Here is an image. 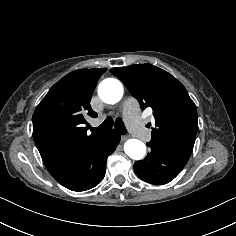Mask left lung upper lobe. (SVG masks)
I'll return each mask as SVG.
<instances>
[{
  "label": "left lung upper lobe",
  "instance_id": "left-lung-upper-lobe-1",
  "mask_svg": "<svg viewBox=\"0 0 236 236\" xmlns=\"http://www.w3.org/2000/svg\"><path fill=\"white\" fill-rule=\"evenodd\" d=\"M155 117L151 142L165 143L191 154L198 130L197 111L185 87L167 71L152 64L110 70ZM151 124L149 123L147 127Z\"/></svg>",
  "mask_w": 236,
  "mask_h": 236
}]
</instances>
